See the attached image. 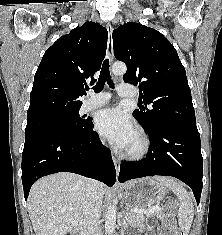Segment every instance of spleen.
<instances>
[{
    "label": "spleen",
    "mask_w": 222,
    "mask_h": 235,
    "mask_svg": "<svg viewBox=\"0 0 222 235\" xmlns=\"http://www.w3.org/2000/svg\"><path fill=\"white\" fill-rule=\"evenodd\" d=\"M152 181L162 184L177 195L180 206L177 213L178 223L184 235H188L194 217V206L189 193L175 179L165 176H156Z\"/></svg>",
    "instance_id": "obj_1"
}]
</instances>
